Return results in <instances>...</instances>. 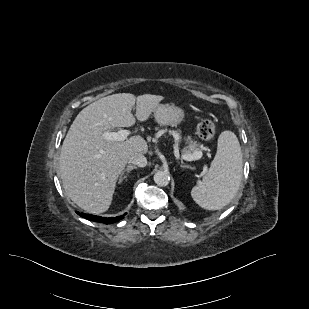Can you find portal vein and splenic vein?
<instances>
[{
  "label": "portal vein and splenic vein",
  "instance_id": "portal-vein-and-splenic-vein-1",
  "mask_svg": "<svg viewBox=\"0 0 309 309\" xmlns=\"http://www.w3.org/2000/svg\"><path fill=\"white\" fill-rule=\"evenodd\" d=\"M131 132L129 130H119L118 132H105L103 138L111 141H124ZM202 157L201 151H196L193 154L183 155L182 158L186 161L198 160Z\"/></svg>",
  "mask_w": 309,
  "mask_h": 309
}]
</instances>
